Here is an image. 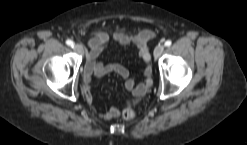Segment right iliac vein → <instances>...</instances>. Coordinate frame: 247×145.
<instances>
[{
  "label": "right iliac vein",
  "mask_w": 247,
  "mask_h": 145,
  "mask_svg": "<svg viewBox=\"0 0 247 145\" xmlns=\"http://www.w3.org/2000/svg\"><path fill=\"white\" fill-rule=\"evenodd\" d=\"M73 49H74L77 53H79V54H82V53H83V48H82V46H81L80 44H74V45H73Z\"/></svg>",
  "instance_id": "right-iliac-vein-1"
}]
</instances>
